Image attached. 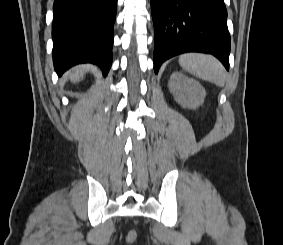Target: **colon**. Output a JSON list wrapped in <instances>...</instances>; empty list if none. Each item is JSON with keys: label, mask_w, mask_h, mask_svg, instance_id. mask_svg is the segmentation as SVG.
<instances>
[{"label": "colon", "mask_w": 283, "mask_h": 245, "mask_svg": "<svg viewBox=\"0 0 283 245\" xmlns=\"http://www.w3.org/2000/svg\"><path fill=\"white\" fill-rule=\"evenodd\" d=\"M138 233L136 230H130L125 236V241L129 244L134 243L137 240Z\"/></svg>", "instance_id": "5ec220e1"}]
</instances>
